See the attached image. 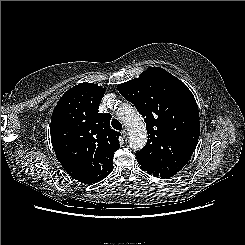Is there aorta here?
I'll return each instance as SVG.
<instances>
[{
	"mask_svg": "<svg viewBox=\"0 0 245 245\" xmlns=\"http://www.w3.org/2000/svg\"><path fill=\"white\" fill-rule=\"evenodd\" d=\"M116 115L128 129L130 147L135 150L143 148L147 142V131L142 116L128 104L118 107Z\"/></svg>",
	"mask_w": 245,
	"mask_h": 245,
	"instance_id": "aorta-1",
	"label": "aorta"
}]
</instances>
